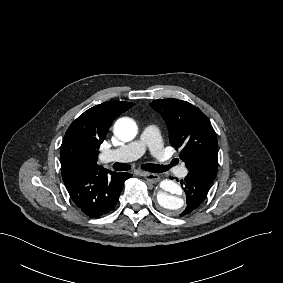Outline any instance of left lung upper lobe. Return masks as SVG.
I'll use <instances>...</instances> for the list:
<instances>
[{
  "instance_id": "5c2ea615",
  "label": "left lung upper lobe",
  "mask_w": 283,
  "mask_h": 283,
  "mask_svg": "<svg viewBox=\"0 0 283 283\" xmlns=\"http://www.w3.org/2000/svg\"><path fill=\"white\" fill-rule=\"evenodd\" d=\"M151 107L165 120L170 144L182 148L180 158L188 170L217 173V136L207 116L192 104L177 99L155 100Z\"/></svg>"
}]
</instances>
